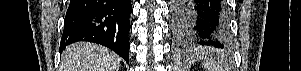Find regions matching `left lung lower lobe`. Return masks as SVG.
<instances>
[{
  "label": "left lung lower lobe",
  "mask_w": 301,
  "mask_h": 71,
  "mask_svg": "<svg viewBox=\"0 0 301 71\" xmlns=\"http://www.w3.org/2000/svg\"><path fill=\"white\" fill-rule=\"evenodd\" d=\"M172 29L180 44L213 50L230 47L224 0H173Z\"/></svg>",
  "instance_id": "1"
}]
</instances>
